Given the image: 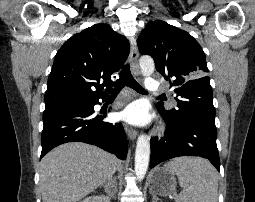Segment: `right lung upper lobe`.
Listing matches in <instances>:
<instances>
[{
  "instance_id": "obj_1",
  "label": "right lung upper lobe",
  "mask_w": 255,
  "mask_h": 202,
  "mask_svg": "<svg viewBox=\"0 0 255 202\" xmlns=\"http://www.w3.org/2000/svg\"><path fill=\"white\" fill-rule=\"evenodd\" d=\"M128 40L107 24H95L73 35L58 50L45 94V110L106 96L111 75L129 55ZM103 79V84H99Z\"/></svg>"
}]
</instances>
